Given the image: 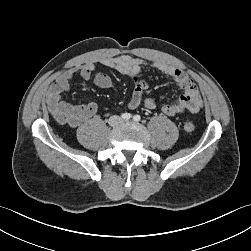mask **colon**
Returning a JSON list of instances; mask_svg holds the SVG:
<instances>
[{
	"label": "colon",
	"mask_w": 251,
	"mask_h": 251,
	"mask_svg": "<svg viewBox=\"0 0 251 251\" xmlns=\"http://www.w3.org/2000/svg\"><path fill=\"white\" fill-rule=\"evenodd\" d=\"M184 129L186 132H192L194 130V125L191 122H187L184 125Z\"/></svg>",
	"instance_id": "5ec220e1"
}]
</instances>
